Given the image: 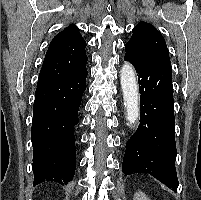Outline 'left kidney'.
<instances>
[{
	"mask_svg": "<svg viewBox=\"0 0 201 200\" xmlns=\"http://www.w3.org/2000/svg\"><path fill=\"white\" fill-rule=\"evenodd\" d=\"M133 200H150L142 191H137L135 193Z\"/></svg>",
	"mask_w": 201,
	"mask_h": 200,
	"instance_id": "left-kidney-1",
	"label": "left kidney"
}]
</instances>
